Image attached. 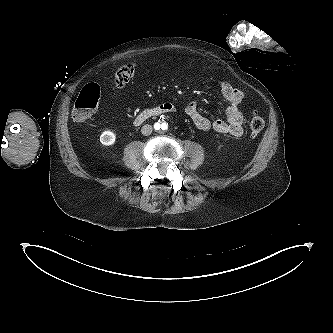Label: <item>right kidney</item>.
I'll use <instances>...</instances> for the list:
<instances>
[{
    "label": "right kidney",
    "instance_id": "right-kidney-1",
    "mask_svg": "<svg viewBox=\"0 0 333 333\" xmlns=\"http://www.w3.org/2000/svg\"><path fill=\"white\" fill-rule=\"evenodd\" d=\"M116 135L111 130L104 131L100 136V142L105 146H110L115 143Z\"/></svg>",
    "mask_w": 333,
    "mask_h": 333
}]
</instances>
